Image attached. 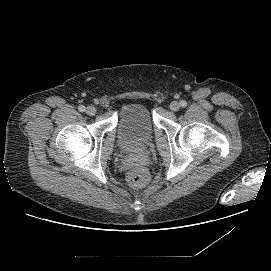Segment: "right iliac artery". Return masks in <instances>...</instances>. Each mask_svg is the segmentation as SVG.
Here are the masks:
<instances>
[{
    "label": "right iliac artery",
    "mask_w": 271,
    "mask_h": 271,
    "mask_svg": "<svg viewBox=\"0 0 271 271\" xmlns=\"http://www.w3.org/2000/svg\"><path fill=\"white\" fill-rule=\"evenodd\" d=\"M85 106H83V105H80L79 107H78V110L80 111V112H84L85 111Z\"/></svg>",
    "instance_id": "1"
}]
</instances>
